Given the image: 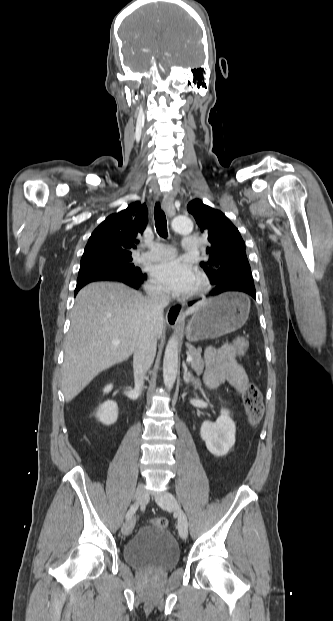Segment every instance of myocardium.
Segmentation results:
<instances>
[{
    "instance_id": "f54148a6",
    "label": "myocardium",
    "mask_w": 333,
    "mask_h": 621,
    "mask_svg": "<svg viewBox=\"0 0 333 621\" xmlns=\"http://www.w3.org/2000/svg\"><path fill=\"white\" fill-rule=\"evenodd\" d=\"M210 288H211V285H210L208 278L203 274H199L197 287L190 294V297L192 298L202 297L209 292Z\"/></svg>"
}]
</instances>
